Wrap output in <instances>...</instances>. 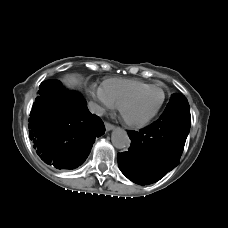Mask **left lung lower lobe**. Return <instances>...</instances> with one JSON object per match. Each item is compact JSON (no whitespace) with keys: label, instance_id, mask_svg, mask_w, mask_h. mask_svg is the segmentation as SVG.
Instances as JSON below:
<instances>
[{"label":"left lung lower lobe","instance_id":"0a47b994","mask_svg":"<svg viewBox=\"0 0 228 228\" xmlns=\"http://www.w3.org/2000/svg\"><path fill=\"white\" fill-rule=\"evenodd\" d=\"M190 125L191 117L161 116L140 131H128L131 146L117 155L121 172L141 185L160 180L178 165Z\"/></svg>","mask_w":228,"mask_h":228}]
</instances>
